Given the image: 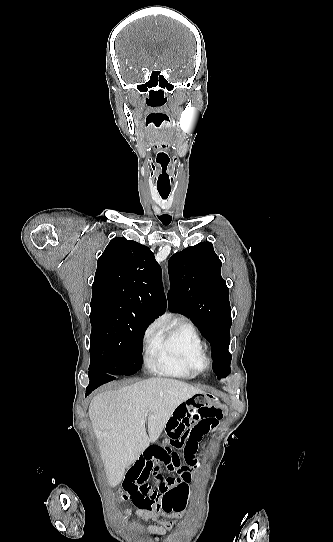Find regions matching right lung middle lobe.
I'll return each instance as SVG.
<instances>
[{"mask_svg":"<svg viewBox=\"0 0 333 542\" xmlns=\"http://www.w3.org/2000/svg\"><path fill=\"white\" fill-rule=\"evenodd\" d=\"M90 367L116 375L135 374L142 365L143 335L152 322L113 308L91 309Z\"/></svg>","mask_w":333,"mask_h":542,"instance_id":"right-lung-middle-lobe-1","label":"right lung middle lobe"}]
</instances>
